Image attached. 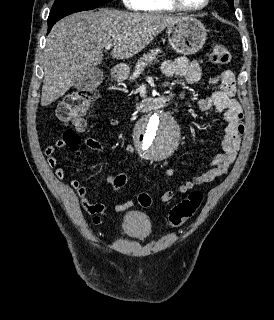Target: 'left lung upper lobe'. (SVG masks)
<instances>
[{"instance_id": "1", "label": "left lung upper lobe", "mask_w": 274, "mask_h": 320, "mask_svg": "<svg viewBox=\"0 0 274 320\" xmlns=\"http://www.w3.org/2000/svg\"><path fill=\"white\" fill-rule=\"evenodd\" d=\"M226 1H227V3H228L229 7L231 8V10L235 11V9H234V4H233V0H226Z\"/></svg>"}]
</instances>
